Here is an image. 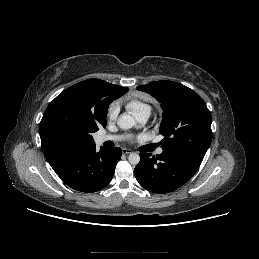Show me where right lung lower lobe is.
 I'll return each instance as SVG.
<instances>
[{
	"label": "right lung lower lobe",
	"instance_id": "1",
	"mask_svg": "<svg viewBox=\"0 0 259 259\" xmlns=\"http://www.w3.org/2000/svg\"><path fill=\"white\" fill-rule=\"evenodd\" d=\"M121 149L96 145L82 149L63 150L48 161L56 174L71 188L92 193L106 187L113 178L116 164L121 159Z\"/></svg>",
	"mask_w": 259,
	"mask_h": 259
}]
</instances>
